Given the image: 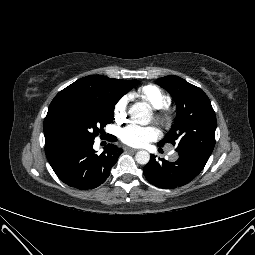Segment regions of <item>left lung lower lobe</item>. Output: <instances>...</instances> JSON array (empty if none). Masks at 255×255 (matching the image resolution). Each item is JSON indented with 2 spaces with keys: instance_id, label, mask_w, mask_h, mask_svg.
<instances>
[{
  "instance_id": "obj_1",
  "label": "left lung lower lobe",
  "mask_w": 255,
  "mask_h": 255,
  "mask_svg": "<svg viewBox=\"0 0 255 255\" xmlns=\"http://www.w3.org/2000/svg\"><path fill=\"white\" fill-rule=\"evenodd\" d=\"M178 155L175 162H159L152 155L143 169L146 179L159 188H177L193 180L209 159L207 155L190 151H178Z\"/></svg>"
}]
</instances>
